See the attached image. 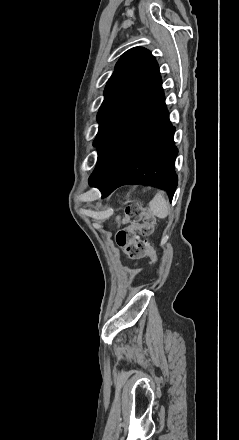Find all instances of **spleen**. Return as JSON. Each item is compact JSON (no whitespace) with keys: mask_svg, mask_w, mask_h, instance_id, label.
I'll list each match as a JSON object with an SVG mask.
<instances>
[{"mask_svg":"<svg viewBox=\"0 0 239 440\" xmlns=\"http://www.w3.org/2000/svg\"><path fill=\"white\" fill-rule=\"evenodd\" d=\"M164 194L165 192H158L150 202V210L157 218H166L168 216V202L165 200Z\"/></svg>","mask_w":239,"mask_h":440,"instance_id":"obj_1","label":"spleen"}]
</instances>
